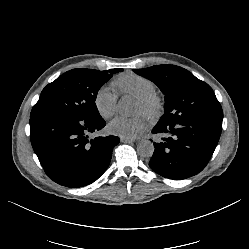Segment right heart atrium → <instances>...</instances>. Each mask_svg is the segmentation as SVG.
<instances>
[{
    "mask_svg": "<svg viewBox=\"0 0 249 249\" xmlns=\"http://www.w3.org/2000/svg\"><path fill=\"white\" fill-rule=\"evenodd\" d=\"M93 104L102 118H109L116 111L117 94L109 86L102 85L94 93Z\"/></svg>",
    "mask_w": 249,
    "mask_h": 249,
    "instance_id": "1",
    "label": "right heart atrium"
}]
</instances>
